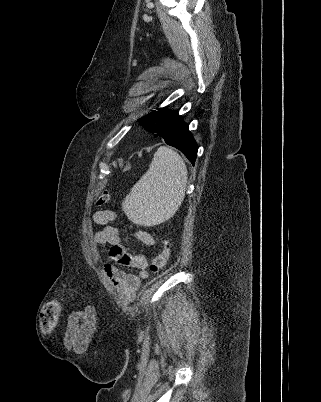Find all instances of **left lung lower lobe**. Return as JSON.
<instances>
[{
  "mask_svg": "<svg viewBox=\"0 0 321 402\" xmlns=\"http://www.w3.org/2000/svg\"><path fill=\"white\" fill-rule=\"evenodd\" d=\"M156 134L168 145L179 149L194 165L198 146L187 124L182 121L177 111L160 109L156 122Z\"/></svg>",
  "mask_w": 321,
  "mask_h": 402,
  "instance_id": "1",
  "label": "left lung lower lobe"
}]
</instances>
